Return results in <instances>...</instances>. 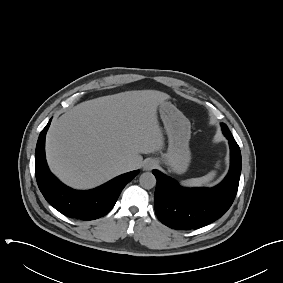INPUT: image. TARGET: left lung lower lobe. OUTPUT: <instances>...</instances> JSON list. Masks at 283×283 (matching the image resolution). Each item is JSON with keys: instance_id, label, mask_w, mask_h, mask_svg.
I'll list each match as a JSON object with an SVG mask.
<instances>
[{"instance_id": "1", "label": "left lung lower lobe", "mask_w": 283, "mask_h": 283, "mask_svg": "<svg viewBox=\"0 0 283 283\" xmlns=\"http://www.w3.org/2000/svg\"><path fill=\"white\" fill-rule=\"evenodd\" d=\"M230 146V170L214 188L186 189L158 170H153L157 185L155 212L166 226L177 230L198 229L224 215L236 196L242 161L241 152L232 134H224Z\"/></svg>"}]
</instances>
